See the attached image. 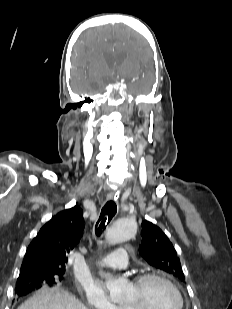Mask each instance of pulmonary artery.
Listing matches in <instances>:
<instances>
[{
    "instance_id": "e3ab8cb5",
    "label": "pulmonary artery",
    "mask_w": 232,
    "mask_h": 309,
    "mask_svg": "<svg viewBox=\"0 0 232 309\" xmlns=\"http://www.w3.org/2000/svg\"><path fill=\"white\" fill-rule=\"evenodd\" d=\"M128 265V251L126 249H118L115 253L106 256L96 263L98 268H114L122 269Z\"/></svg>"
}]
</instances>
